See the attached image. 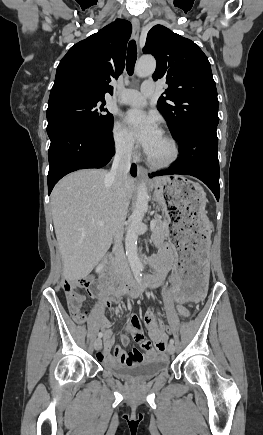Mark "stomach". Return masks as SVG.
I'll return each mask as SVG.
<instances>
[{"instance_id":"1","label":"stomach","mask_w":263,"mask_h":435,"mask_svg":"<svg viewBox=\"0 0 263 435\" xmlns=\"http://www.w3.org/2000/svg\"><path fill=\"white\" fill-rule=\"evenodd\" d=\"M154 198L173 224H168L173 261L167 263L171 290L167 297L173 305H200L206 299L208 252L211 250L213 226L207 216L206 194L199 183L184 176H167L152 180Z\"/></svg>"}]
</instances>
